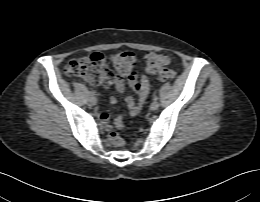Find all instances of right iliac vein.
Wrapping results in <instances>:
<instances>
[{"mask_svg": "<svg viewBox=\"0 0 260 202\" xmlns=\"http://www.w3.org/2000/svg\"><path fill=\"white\" fill-rule=\"evenodd\" d=\"M89 101H90L91 105H96L97 104V99L95 97H91Z\"/></svg>", "mask_w": 260, "mask_h": 202, "instance_id": "63e3f726", "label": "right iliac vein"}]
</instances>
